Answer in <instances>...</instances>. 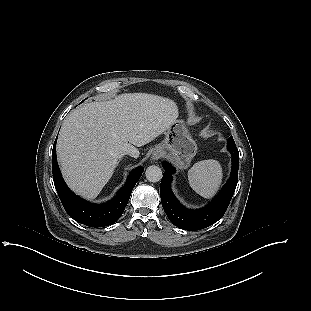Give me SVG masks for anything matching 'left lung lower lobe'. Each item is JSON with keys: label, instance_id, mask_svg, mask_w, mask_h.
Wrapping results in <instances>:
<instances>
[{"label": "left lung lower lobe", "instance_id": "obj_1", "mask_svg": "<svg viewBox=\"0 0 311 311\" xmlns=\"http://www.w3.org/2000/svg\"><path fill=\"white\" fill-rule=\"evenodd\" d=\"M228 150L232 153V170L229 180L212 202L197 210L184 207L175 198L170 186L175 169L167 162L162 163L165 172L160 184L161 202L173 225L194 231L208 227L222 218L238 182L239 153L237 148H228Z\"/></svg>", "mask_w": 311, "mask_h": 311}]
</instances>
